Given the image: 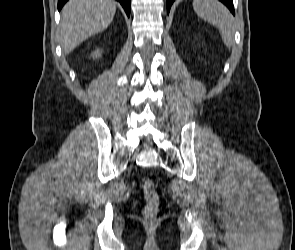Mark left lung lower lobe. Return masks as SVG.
I'll use <instances>...</instances> for the list:
<instances>
[{"label":"left lung lower lobe","instance_id":"0a47b994","mask_svg":"<svg viewBox=\"0 0 295 250\" xmlns=\"http://www.w3.org/2000/svg\"><path fill=\"white\" fill-rule=\"evenodd\" d=\"M175 0H167V11L169 13L170 7L172 5V3ZM222 3H224L229 9L230 11L233 13V15L235 14L234 12V7H233V0H220Z\"/></svg>","mask_w":295,"mask_h":250}]
</instances>
